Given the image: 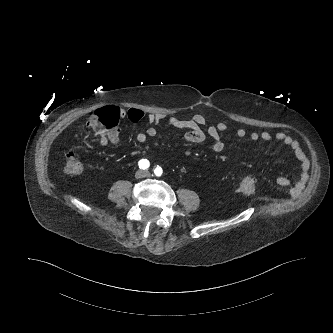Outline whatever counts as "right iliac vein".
Here are the masks:
<instances>
[{"mask_svg": "<svg viewBox=\"0 0 333 333\" xmlns=\"http://www.w3.org/2000/svg\"><path fill=\"white\" fill-rule=\"evenodd\" d=\"M145 176V171L143 170H138L136 173H135V177L136 178H143Z\"/></svg>", "mask_w": 333, "mask_h": 333, "instance_id": "63e3f726", "label": "right iliac vein"}]
</instances>
